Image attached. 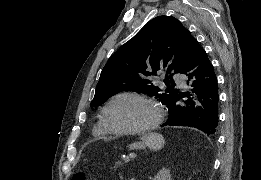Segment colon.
<instances>
[{
  "label": "colon",
  "mask_w": 261,
  "mask_h": 180,
  "mask_svg": "<svg viewBox=\"0 0 261 180\" xmlns=\"http://www.w3.org/2000/svg\"><path fill=\"white\" fill-rule=\"evenodd\" d=\"M73 180H87V175L85 173L77 172L73 175Z\"/></svg>",
  "instance_id": "obj_1"
}]
</instances>
